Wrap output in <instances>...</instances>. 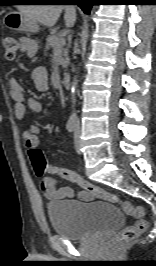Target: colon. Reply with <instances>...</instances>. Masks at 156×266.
I'll list each match as a JSON object with an SVG mask.
<instances>
[{"mask_svg": "<svg viewBox=\"0 0 156 266\" xmlns=\"http://www.w3.org/2000/svg\"><path fill=\"white\" fill-rule=\"evenodd\" d=\"M2 46L6 58L9 60L14 59L18 50L16 39L12 35H5L2 38ZM29 156L33 169L38 176L50 174L72 182L93 197L118 204L125 214L136 219L132 225L125 227L117 236L110 240L108 244L110 250L115 249L120 244L134 240L147 229L148 223L145 219V210L142 206L134 205L129 201L121 199L116 194L90 183L72 170L49 165L39 148L30 149Z\"/></svg>", "mask_w": 156, "mask_h": 266, "instance_id": "obj_1", "label": "colon"}]
</instances>
